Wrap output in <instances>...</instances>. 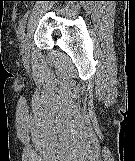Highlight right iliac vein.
<instances>
[{"label":"right iliac vein","mask_w":135,"mask_h":161,"mask_svg":"<svg viewBox=\"0 0 135 161\" xmlns=\"http://www.w3.org/2000/svg\"><path fill=\"white\" fill-rule=\"evenodd\" d=\"M21 55L24 60L29 59V52H28V35L23 36L21 41Z\"/></svg>","instance_id":"63e3f726"}]
</instances>
